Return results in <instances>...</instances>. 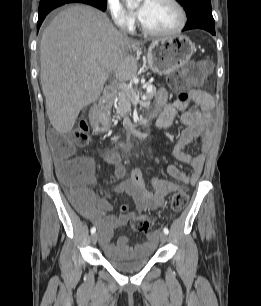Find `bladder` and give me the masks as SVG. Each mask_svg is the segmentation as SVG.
I'll list each match as a JSON object with an SVG mask.
<instances>
[{
  "instance_id": "bladder-1",
  "label": "bladder",
  "mask_w": 261,
  "mask_h": 306,
  "mask_svg": "<svg viewBox=\"0 0 261 306\" xmlns=\"http://www.w3.org/2000/svg\"><path fill=\"white\" fill-rule=\"evenodd\" d=\"M150 246L130 247L127 245L115 246L114 252L105 251L104 259L114 268L122 272H134L144 267L152 258Z\"/></svg>"
}]
</instances>
